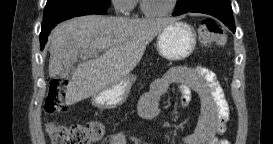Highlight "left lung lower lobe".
<instances>
[{
	"label": "left lung lower lobe",
	"mask_w": 273,
	"mask_h": 144,
	"mask_svg": "<svg viewBox=\"0 0 273 144\" xmlns=\"http://www.w3.org/2000/svg\"><path fill=\"white\" fill-rule=\"evenodd\" d=\"M187 12H199L212 15L221 20L232 32H235L233 11L230 0H190L181 9H176L173 16Z\"/></svg>",
	"instance_id": "obj_1"
}]
</instances>
